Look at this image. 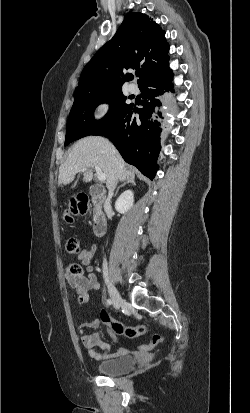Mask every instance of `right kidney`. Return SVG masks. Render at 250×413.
<instances>
[{
    "label": "right kidney",
    "instance_id": "right-kidney-1",
    "mask_svg": "<svg viewBox=\"0 0 250 413\" xmlns=\"http://www.w3.org/2000/svg\"><path fill=\"white\" fill-rule=\"evenodd\" d=\"M134 203V194L131 190L123 192L115 202V209L121 214L127 213Z\"/></svg>",
    "mask_w": 250,
    "mask_h": 413
}]
</instances>
